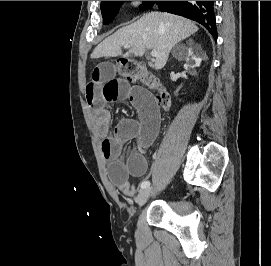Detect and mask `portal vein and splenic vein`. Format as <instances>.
Segmentation results:
<instances>
[{
    "label": "portal vein and splenic vein",
    "mask_w": 271,
    "mask_h": 266,
    "mask_svg": "<svg viewBox=\"0 0 271 266\" xmlns=\"http://www.w3.org/2000/svg\"><path fill=\"white\" fill-rule=\"evenodd\" d=\"M124 47L125 48H129L130 46L129 45H125ZM151 55H152V57H157L158 53H157L156 50H152Z\"/></svg>",
    "instance_id": "1"
}]
</instances>
